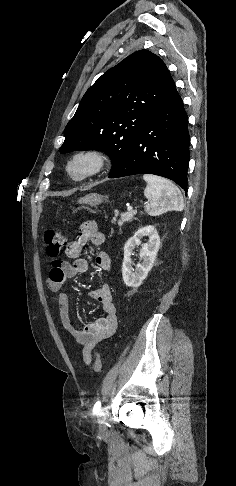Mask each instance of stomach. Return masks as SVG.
<instances>
[{
    "mask_svg": "<svg viewBox=\"0 0 236 486\" xmlns=\"http://www.w3.org/2000/svg\"><path fill=\"white\" fill-rule=\"evenodd\" d=\"M106 200V197L103 195L97 194V193H90L87 194L86 196L80 198L78 200V203L80 204H86L89 206H98L101 203H103Z\"/></svg>",
    "mask_w": 236,
    "mask_h": 486,
    "instance_id": "1",
    "label": "stomach"
}]
</instances>
